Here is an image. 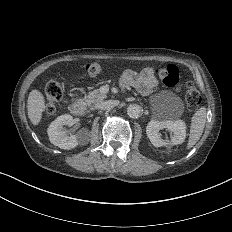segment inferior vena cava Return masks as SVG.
Listing matches in <instances>:
<instances>
[{
	"label": "inferior vena cava",
	"mask_w": 232,
	"mask_h": 232,
	"mask_svg": "<svg viewBox=\"0 0 232 232\" xmlns=\"http://www.w3.org/2000/svg\"><path fill=\"white\" fill-rule=\"evenodd\" d=\"M119 104L118 100H107L102 102L100 108L103 110H110Z\"/></svg>",
	"instance_id": "inferior-vena-cava-1"
}]
</instances>
